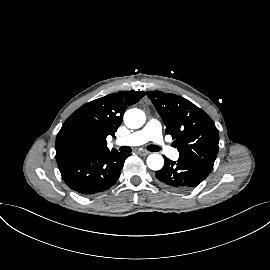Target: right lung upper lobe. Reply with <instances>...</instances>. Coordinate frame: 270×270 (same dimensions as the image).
I'll return each instance as SVG.
<instances>
[{
  "instance_id": "obj_1",
  "label": "right lung upper lobe",
  "mask_w": 270,
  "mask_h": 270,
  "mask_svg": "<svg viewBox=\"0 0 270 270\" xmlns=\"http://www.w3.org/2000/svg\"><path fill=\"white\" fill-rule=\"evenodd\" d=\"M144 95V91H120L81 106L66 119L57 134L56 161L108 151L106 137H114L128 106Z\"/></svg>"
}]
</instances>
